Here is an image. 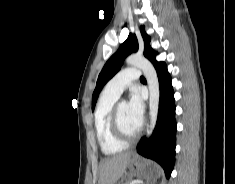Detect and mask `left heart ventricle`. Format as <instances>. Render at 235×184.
<instances>
[{
  "label": "left heart ventricle",
  "mask_w": 235,
  "mask_h": 184,
  "mask_svg": "<svg viewBox=\"0 0 235 184\" xmlns=\"http://www.w3.org/2000/svg\"><path fill=\"white\" fill-rule=\"evenodd\" d=\"M119 120L123 131L129 136L135 135L141 127V124L131 116L125 102L119 105Z\"/></svg>",
  "instance_id": "obj_1"
}]
</instances>
